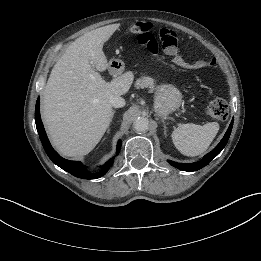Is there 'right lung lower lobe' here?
<instances>
[{"label":"right lung lower lobe","mask_w":261,"mask_h":261,"mask_svg":"<svg viewBox=\"0 0 261 261\" xmlns=\"http://www.w3.org/2000/svg\"><path fill=\"white\" fill-rule=\"evenodd\" d=\"M39 106H40V98L38 97L37 102H36V107H35L36 128H37L40 140L42 142V145H43L47 155L56 165H58L63 170L69 172L70 174H72L78 178H83V179H97L109 170V168L113 164L114 158L107 161L102 166V169L99 172L90 173L86 170V166H84L81 162L70 161V160H66V159L60 157L57 154V152L52 148V146L47 138L46 132L44 130V127H43V124L41 121ZM120 148H121V140H119L117 143V154L119 153Z\"/></svg>","instance_id":"right-lung-lower-lobe-1"}]
</instances>
